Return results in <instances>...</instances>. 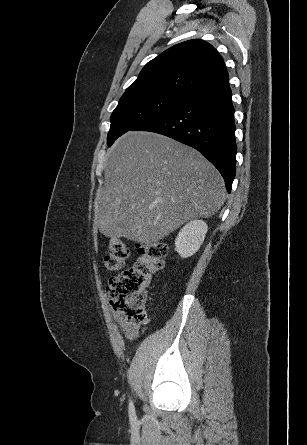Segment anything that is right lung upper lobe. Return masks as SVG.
Segmentation results:
<instances>
[{"mask_svg":"<svg viewBox=\"0 0 307 445\" xmlns=\"http://www.w3.org/2000/svg\"><path fill=\"white\" fill-rule=\"evenodd\" d=\"M226 78L224 61L213 46L189 40L148 62L123 96L156 94L186 99Z\"/></svg>","mask_w":307,"mask_h":445,"instance_id":"cb5924a9","label":"right lung upper lobe"}]
</instances>
